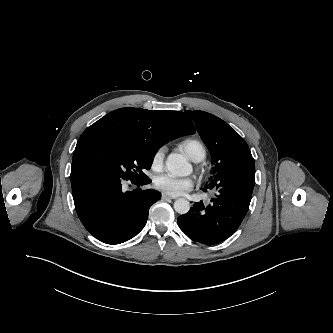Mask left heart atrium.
Segmentation results:
<instances>
[{"instance_id": "39dd6f15", "label": "left heart atrium", "mask_w": 333, "mask_h": 333, "mask_svg": "<svg viewBox=\"0 0 333 333\" xmlns=\"http://www.w3.org/2000/svg\"><path fill=\"white\" fill-rule=\"evenodd\" d=\"M153 183L157 190L171 197L183 195L194 186V181L191 177H175L171 174L157 175Z\"/></svg>"}]
</instances>
